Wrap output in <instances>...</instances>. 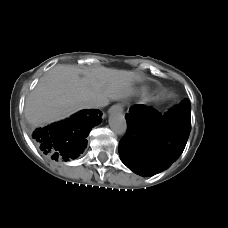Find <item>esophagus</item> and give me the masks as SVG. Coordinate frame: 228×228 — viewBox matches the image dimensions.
<instances>
[{
	"mask_svg": "<svg viewBox=\"0 0 228 228\" xmlns=\"http://www.w3.org/2000/svg\"><path fill=\"white\" fill-rule=\"evenodd\" d=\"M123 106L121 104H115L109 109V113L122 112Z\"/></svg>",
	"mask_w": 228,
	"mask_h": 228,
	"instance_id": "1",
	"label": "esophagus"
}]
</instances>
